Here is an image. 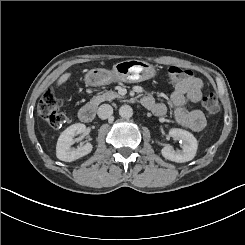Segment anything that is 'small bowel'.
<instances>
[{
  "instance_id": "c3829d8e",
  "label": "small bowel",
  "mask_w": 245,
  "mask_h": 245,
  "mask_svg": "<svg viewBox=\"0 0 245 245\" xmlns=\"http://www.w3.org/2000/svg\"><path fill=\"white\" fill-rule=\"evenodd\" d=\"M202 89V81L191 76L177 83L171 95L176 122L194 132L201 131L206 126V118L203 112L195 107V104L202 98ZM142 103L158 116H163L167 112V106L164 103L156 102L151 94L144 96Z\"/></svg>"
}]
</instances>
